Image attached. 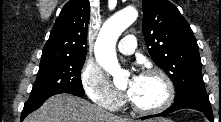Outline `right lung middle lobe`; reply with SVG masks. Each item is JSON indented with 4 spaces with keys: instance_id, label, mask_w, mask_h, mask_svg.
<instances>
[{
    "instance_id": "obj_1",
    "label": "right lung middle lobe",
    "mask_w": 221,
    "mask_h": 122,
    "mask_svg": "<svg viewBox=\"0 0 221 122\" xmlns=\"http://www.w3.org/2000/svg\"><path fill=\"white\" fill-rule=\"evenodd\" d=\"M85 58H55L41 60L30 96L55 90H72L84 94L81 69Z\"/></svg>"
}]
</instances>
